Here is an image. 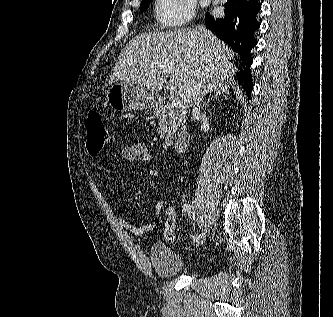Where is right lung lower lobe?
<instances>
[{"mask_svg":"<svg viewBox=\"0 0 333 317\" xmlns=\"http://www.w3.org/2000/svg\"><path fill=\"white\" fill-rule=\"evenodd\" d=\"M225 17L213 18L209 13L205 17L206 28L215 32L241 58L237 60L239 72L236 79L250 98L253 89L250 67L253 62L251 49L257 44L254 32L260 27L256 16L261 9L258 0H227L224 4Z\"/></svg>","mask_w":333,"mask_h":317,"instance_id":"obj_1","label":"right lung lower lobe"}]
</instances>
